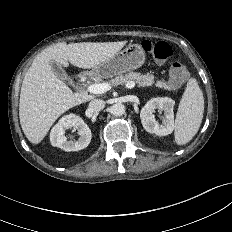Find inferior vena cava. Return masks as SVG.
I'll use <instances>...</instances> for the list:
<instances>
[{
	"label": "inferior vena cava",
	"instance_id": "602c4592",
	"mask_svg": "<svg viewBox=\"0 0 232 232\" xmlns=\"http://www.w3.org/2000/svg\"><path fill=\"white\" fill-rule=\"evenodd\" d=\"M105 107V101L101 99H94L89 103V109L94 112H99Z\"/></svg>",
	"mask_w": 232,
	"mask_h": 232
}]
</instances>
